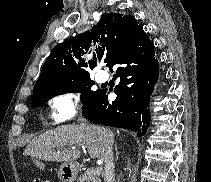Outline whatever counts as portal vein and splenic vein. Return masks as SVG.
<instances>
[{"label": "portal vein and splenic vein", "instance_id": "obj_1", "mask_svg": "<svg viewBox=\"0 0 211 182\" xmlns=\"http://www.w3.org/2000/svg\"><path fill=\"white\" fill-rule=\"evenodd\" d=\"M75 148V147H74ZM100 171H101V169L98 167L97 169H96V172L97 173H100Z\"/></svg>", "mask_w": 211, "mask_h": 182}]
</instances>
